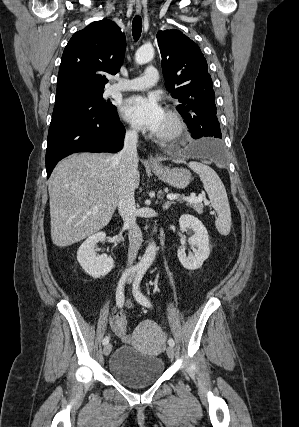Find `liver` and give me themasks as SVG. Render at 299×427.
<instances>
[{
	"label": "liver",
	"instance_id": "6515ba94",
	"mask_svg": "<svg viewBox=\"0 0 299 427\" xmlns=\"http://www.w3.org/2000/svg\"><path fill=\"white\" fill-rule=\"evenodd\" d=\"M139 180L137 170L135 188ZM119 185L120 161L114 154L85 152L60 161L48 185L53 243L66 247L105 227L116 209Z\"/></svg>",
	"mask_w": 299,
	"mask_h": 427
}]
</instances>
